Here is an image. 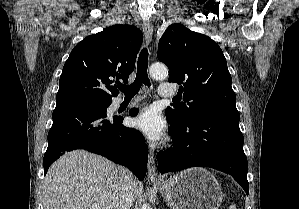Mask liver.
<instances>
[{"label":"liver","mask_w":299,"mask_h":209,"mask_svg":"<svg viewBox=\"0 0 299 209\" xmlns=\"http://www.w3.org/2000/svg\"><path fill=\"white\" fill-rule=\"evenodd\" d=\"M123 167L85 150H74L54 162L43 182L44 209H117ZM138 181L132 182L136 198Z\"/></svg>","instance_id":"obj_1"}]
</instances>
